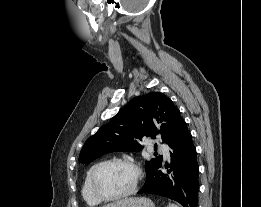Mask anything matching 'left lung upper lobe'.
Wrapping results in <instances>:
<instances>
[{"instance_id": "left-lung-upper-lobe-1", "label": "left lung upper lobe", "mask_w": 261, "mask_h": 207, "mask_svg": "<svg viewBox=\"0 0 261 207\" xmlns=\"http://www.w3.org/2000/svg\"><path fill=\"white\" fill-rule=\"evenodd\" d=\"M182 122L179 109L164 94L152 92L138 96L86 140L79 162L89 163L115 151L138 152L142 146L137 140H142L144 136L154 137L159 134L163 142L170 146ZM161 161L162 156L146 161V174L154 170Z\"/></svg>"}]
</instances>
